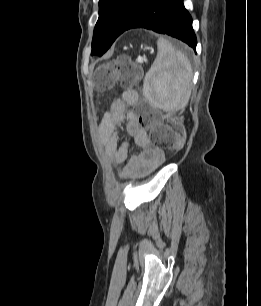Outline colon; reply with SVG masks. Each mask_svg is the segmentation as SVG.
<instances>
[{
	"instance_id": "1",
	"label": "colon",
	"mask_w": 261,
	"mask_h": 306,
	"mask_svg": "<svg viewBox=\"0 0 261 306\" xmlns=\"http://www.w3.org/2000/svg\"><path fill=\"white\" fill-rule=\"evenodd\" d=\"M139 77V67L129 57L121 56L99 65L94 73V83L100 90L119 83L126 91H131ZM138 115L140 123L149 128L151 141L157 148L172 149L180 145L182 137L160 121L157 111L140 109Z\"/></svg>"
}]
</instances>
